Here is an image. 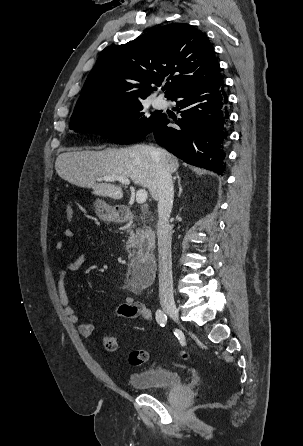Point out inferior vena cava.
Segmentation results:
<instances>
[{
  "instance_id": "inferior-vena-cava-1",
  "label": "inferior vena cava",
  "mask_w": 303,
  "mask_h": 446,
  "mask_svg": "<svg viewBox=\"0 0 303 446\" xmlns=\"http://www.w3.org/2000/svg\"><path fill=\"white\" fill-rule=\"evenodd\" d=\"M158 216L157 236L159 251V297L163 302H174L170 213L173 206L174 189L171 173L161 164L157 165Z\"/></svg>"
}]
</instances>
